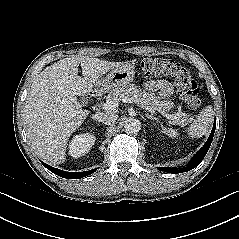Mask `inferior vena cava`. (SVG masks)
<instances>
[{
	"label": "inferior vena cava",
	"mask_w": 239,
	"mask_h": 239,
	"mask_svg": "<svg viewBox=\"0 0 239 239\" xmlns=\"http://www.w3.org/2000/svg\"><path fill=\"white\" fill-rule=\"evenodd\" d=\"M92 118L106 125H110L117 120V116L114 113H98L95 114Z\"/></svg>",
	"instance_id": "inferior-vena-cava-1"
}]
</instances>
